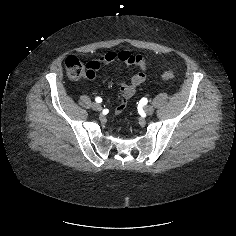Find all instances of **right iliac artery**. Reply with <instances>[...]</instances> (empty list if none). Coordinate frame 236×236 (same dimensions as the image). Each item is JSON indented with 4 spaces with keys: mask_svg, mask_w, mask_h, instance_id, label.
Wrapping results in <instances>:
<instances>
[{
    "mask_svg": "<svg viewBox=\"0 0 236 236\" xmlns=\"http://www.w3.org/2000/svg\"><path fill=\"white\" fill-rule=\"evenodd\" d=\"M95 101H96L97 103H101V102H102V99H101L100 97H96V98H95Z\"/></svg>",
    "mask_w": 236,
    "mask_h": 236,
    "instance_id": "82829eb1",
    "label": "right iliac artery"
}]
</instances>
